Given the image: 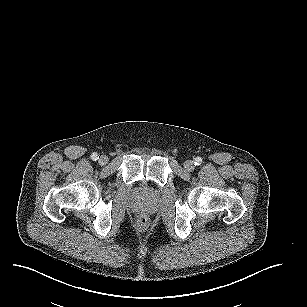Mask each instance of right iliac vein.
<instances>
[{"instance_id":"obj_1","label":"right iliac vein","mask_w":307,"mask_h":307,"mask_svg":"<svg viewBox=\"0 0 307 307\" xmlns=\"http://www.w3.org/2000/svg\"><path fill=\"white\" fill-rule=\"evenodd\" d=\"M100 166H105L108 163V158L105 155H101L98 161Z\"/></svg>"}]
</instances>
